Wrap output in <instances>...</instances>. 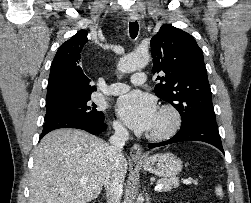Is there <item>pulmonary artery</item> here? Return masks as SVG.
Segmentation results:
<instances>
[{
  "instance_id": "pulmonary-artery-1",
  "label": "pulmonary artery",
  "mask_w": 251,
  "mask_h": 203,
  "mask_svg": "<svg viewBox=\"0 0 251 203\" xmlns=\"http://www.w3.org/2000/svg\"><path fill=\"white\" fill-rule=\"evenodd\" d=\"M131 81L134 85L143 84L146 81V75L143 72L135 73L131 77ZM129 85L121 82L113 83L110 86L109 93L112 95H119L128 91Z\"/></svg>"
}]
</instances>
